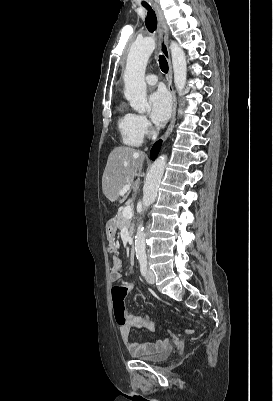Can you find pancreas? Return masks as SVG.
Wrapping results in <instances>:
<instances>
[{
	"label": "pancreas",
	"instance_id": "cf45deb5",
	"mask_svg": "<svg viewBox=\"0 0 273 401\" xmlns=\"http://www.w3.org/2000/svg\"><path fill=\"white\" fill-rule=\"evenodd\" d=\"M115 219H116L115 225L117 229H124V227H127V229H129L130 235H132L133 233V229L131 227L132 219H126V217H123L122 211H119V213H117Z\"/></svg>",
	"mask_w": 273,
	"mask_h": 401
}]
</instances>
